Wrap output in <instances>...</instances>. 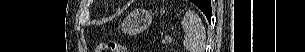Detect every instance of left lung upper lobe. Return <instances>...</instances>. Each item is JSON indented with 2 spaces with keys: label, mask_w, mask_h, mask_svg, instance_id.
Instances as JSON below:
<instances>
[{
  "label": "left lung upper lobe",
  "mask_w": 305,
  "mask_h": 52,
  "mask_svg": "<svg viewBox=\"0 0 305 52\" xmlns=\"http://www.w3.org/2000/svg\"><path fill=\"white\" fill-rule=\"evenodd\" d=\"M205 0H191L195 5H197L200 9L204 7Z\"/></svg>",
  "instance_id": "5c2ea615"
}]
</instances>
